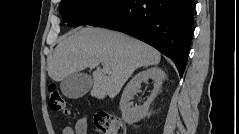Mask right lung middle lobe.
Instances as JSON below:
<instances>
[{"mask_svg": "<svg viewBox=\"0 0 239 134\" xmlns=\"http://www.w3.org/2000/svg\"><path fill=\"white\" fill-rule=\"evenodd\" d=\"M117 0H62L60 12L68 26L77 27L85 24L96 14L109 7Z\"/></svg>", "mask_w": 239, "mask_h": 134, "instance_id": "right-lung-middle-lobe-1", "label": "right lung middle lobe"}]
</instances>
